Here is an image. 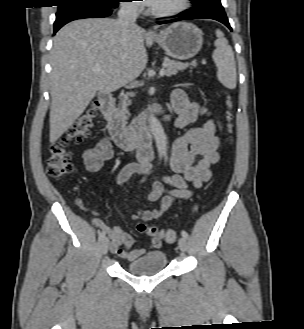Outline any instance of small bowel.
Segmentation results:
<instances>
[{
	"label": "small bowel",
	"instance_id": "obj_1",
	"mask_svg": "<svg viewBox=\"0 0 304 329\" xmlns=\"http://www.w3.org/2000/svg\"><path fill=\"white\" fill-rule=\"evenodd\" d=\"M171 104L175 112L174 123L178 127H186L197 120L198 117L207 115L208 111L202 105L188 99L181 89L173 90ZM219 138L216 134L215 124L207 120L201 127L190 128L180 135L172 145L170 166L173 174L157 181L152 191L147 196L150 203L156 202L165 192L169 195L163 199L160 209L151 206L132 214V219L149 221L159 218L171 205L175 197H188L190 191L188 183L194 187H201L211 178V165L219 160ZM113 146L109 138H101L93 147L87 148L82 153V161L87 171L98 173L103 164L112 159ZM151 164L141 160L123 168L117 176V184L124 183L135 172H148ZM169 187V189H168ZM111 190V186L107 185ZM95 227L107 234L109 248L112 253L131 261L146 252V249H132L133 238L119 226L105 224L98 217L92 219ZM161 246V240L153 238L148 245L149 250H156Z\"/></svg>",
	"mask_w": 304,
	"mask_h": 329
}]
</instances>
